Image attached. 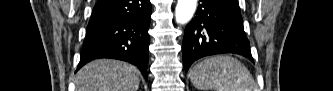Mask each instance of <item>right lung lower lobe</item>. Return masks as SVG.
Instances as JSON below:
<instances>
[{"label": "right lung lower lobe", "instance_id": "1", "mask_svg": "<svg viewBox=\"0 0 333 91\" xmlns=\"http://www.w3.org/2000/svg\"><path fill=\"white\" fill-rule=\"evenodd\" d=\"M149 0H98L86 30L78 69L100 58L136 65L147 79Z\"/></svg>", "mask_w": 333, "mask_h": 91}]
</instances>
